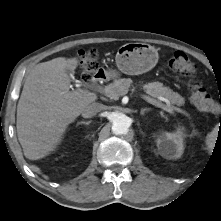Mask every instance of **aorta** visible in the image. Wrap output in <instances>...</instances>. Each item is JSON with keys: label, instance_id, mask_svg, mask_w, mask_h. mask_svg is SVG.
<instances>
[{"label": "aorta", "instance_id": "obj_1", "mask_svg": "<svg viewBox=\"0 0 221 221\" xmlns=\"http://www.w3.org/2000/svg\"><path fill=\"white\" fill-rule=\"evenodd\" d=\"M109 120L112 123V132L114 134L125 135L128 133L131 121L124 113L114 111L110 114Z\"/></svg>", "mask_w": 221, "mask_h": 221}]
</instances>
